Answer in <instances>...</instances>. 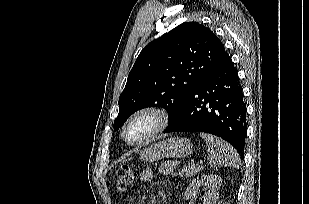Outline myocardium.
I'll list each match as a JSON object with an SVG mask.
<instances>
[{
    "label": "myocardium",
    "mask_w": 309,
    "mask_h": 204,
    "mask_svg": "<svg viewBox=\"0 0 309 204\" xmlns=\"http://www.w3.org/2000/svg\"><path fill=\"white\" fill-rule=\"evenodd\" d=\"M143 116H151L155 119L156 124L154 129L144 138L138 141H130L126 134L127 127L133 120ZM168 124H169V114L166 109L159 106H146L136 110L126 119V121L122 126L121 135L123 140L128 145L140 146L147 143L158 134L162 133L167 128Z\"/></svg>",
    "instance_id": "f54148a6"
}]
</instances>
